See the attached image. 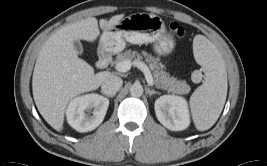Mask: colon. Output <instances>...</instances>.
<instances>
[{
    "label": "colon",
    "instance_id": "colon-1",
    "mask_svg": "<svg viewBox=\"0 0 267 166\" xmlns=\"http://www.w3.org/2000/svg\"><path fill=\"white\" fill-rule=\"evenodd\" d=\"M169 28L171 32L178 38V39H184L185 37V29L182 25L176 22H172L169 24Z\"/></svg>",
    "mask_w": 267,
    "mask_h": 166
}]
</instances>
